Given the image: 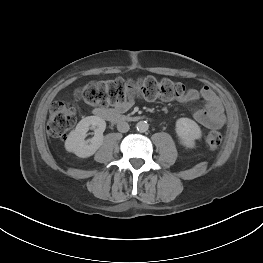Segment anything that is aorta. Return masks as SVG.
Instances as JSON below:
<instances>
[{
    "instance_id": "762f6f07",
    "label": "aorta",
    "mask_w": 263,
    "mask_h": 263,
    "mask_svg": "<svg viewBox=\"0 0 263 263\" xmlns=\"http://www.w3.org/2000/svg\"><path fill=\"white\" fill-rule=\"evenodd\" d=\"M136 128L139 132H146L149 128V124L146 121H139L136 124Z\"/></svg>"
}]
</instances>
